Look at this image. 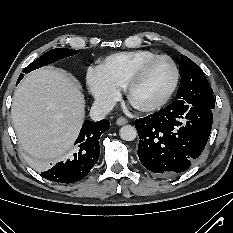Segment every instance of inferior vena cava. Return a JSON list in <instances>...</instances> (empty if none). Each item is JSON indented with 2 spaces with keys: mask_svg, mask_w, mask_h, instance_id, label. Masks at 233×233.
I'll list each match as a JSON object with an SVG mask.
<instances>
[{
  "mask_svg": "<svg viewBox=\"0 0 233 233\" xmlns=\"http://www.w3.org/2000/svg\"><path fill=\"white\" fill-rule=\"evenodd\" d=\"M113 108V105L107 101L96 100L94 101L91 111L90 117L94 121H99L103 119L106 114H108Z\"/></svg>",
  "mask_w": 233,
  "mask_h": 233,
  "instance_id": "602c4592",
  "label": "inferior vena cava"
}]
</instances>
